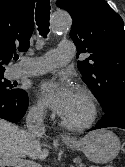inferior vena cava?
Returning a JSON list of instances; mask_svg holds the SVG:
<instances>
[{
  "label": "inferior vena cava",
  "instance_id": "602c4592",
  "mask_svg": "<svg viewBox=\"0 0 125 167\" xmlns=\"http://www.w3.org/2000/svg\"><path fill=\"white\" fill-rule=\"evenodd\" d=\"M43 108L30 109L26 118V127L33 136H41L45 133L43 122Z\"/></svg>",
  "mask_w": 125,
  "mask_h": 167
}]
</instances>
